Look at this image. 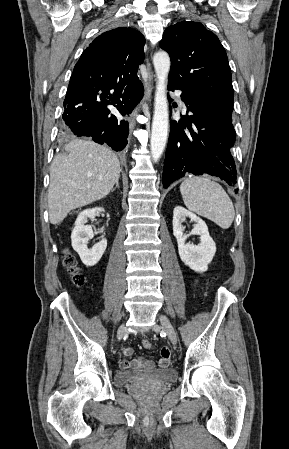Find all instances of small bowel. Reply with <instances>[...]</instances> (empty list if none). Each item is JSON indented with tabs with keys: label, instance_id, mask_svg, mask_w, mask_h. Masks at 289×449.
<instances>
[{
	"label": "small bowel",
	"instance_id": "obj_1",
	"mask_svg": "<svg viewBox=\"0 0 289 449\" xmlns=\"http://www.w3.org/2000/svg\"><path fill=\"white\" fill-rule=\"evenodd\" d=\"M170 348L165 346L160 350L159 352V366L161 369H170L171 368V361H170ZM133 353V349L129 346L124 347L123 354L125 356H131ZM119 366L122 370H128V369H153L155 367L154 361L144 358V357H137L133 360L129 361L126 359H122L119 361Z\"/></svg>",
	"mask_w": 289,
	"mask_h": 449
}]
</instances>
